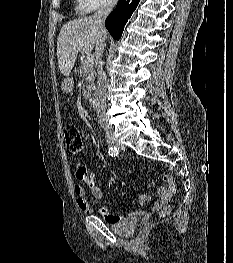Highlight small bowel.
Wrapping results in <instances>:
<instances>
[{
  "label": "small bowel",
  "instance_id": "1",
  "mask_svg": "<svg viewBox=\"0 0 233 263\" xmlns=\"http://www.w3.org/2000/svg\"><path fill=\"white\" fill-rule=\"evenodd\" d=\"M75 176L76 179L85 184L91 195L95 199H102L103 197V192L99 188V186L96 184L94 180V173L93 171L89 170L86 166L78 163L76 165V171H75ZM164 182L166 183V186H161L157 189V192L159 194V198L153 202L152 204V210L157 211L163 208L166 204H168L172 198V196L176 192V184L175 180L171 175H165L163 177ZM74 194L76 196V201L78 204V207L87 214L96 212L98 215L104 218L105 221L109 223H116L121 220H123L124 216L110 212L106 207H98V208H93L88 200L86 199V193L85 189L81 184H75L73 187ZM149 200V197L147 196H142L141 201L145 202ZM142 214H146L145 211L141 212Z\"/></svg>",
  "mask_w": 233,
  "mask_h": 263
}]
</instances>
